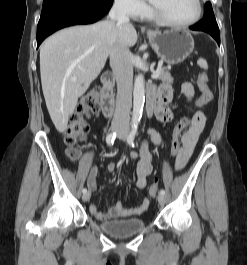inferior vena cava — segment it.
I'll return each instance as SVG.
<instances>
[{
    "mask_svg": "<svg viewBox=\"0 0 247 265\" xmlns=\"http://www.w3.org/2000/svg\"><path fill=\"white\" fill-rule=\"evenodd\" d=\"M112 21L119 25H131L126 8L120 0L115 1L109 12ZM132 54L127 46L115 44L110 51V66L117 82L116 109L112 124L129 130L132 106L133 66Z\"/></svg>",
    "mask_w": 247,
    "mask_h": 265,
    "instance_id": "602c4592",
    "label": "inferior vena cava"
}]
</instances>
